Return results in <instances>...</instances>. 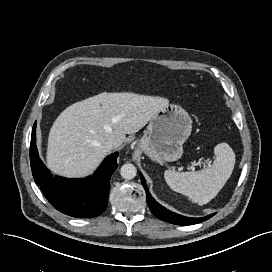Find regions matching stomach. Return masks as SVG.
I'll return each instance as SVG.
<instances>
[{
	"label": "stomach",
	"mask_w": 272,
	"mask_h": 272,
	"mask_svg": "<svg viewBox=\"0 0 272 272\" xmlns=\"http://www.w3.org/2000/svg\"><path fill=\"white\" fill-rule=\"evenodd\" d=\"M191 131L189 114L179 105L168 104L151 118L139 149L160 164L176 161L181 158Z\"/></svg>",
	"instance_id": "obj_1"
}]
</instances>
